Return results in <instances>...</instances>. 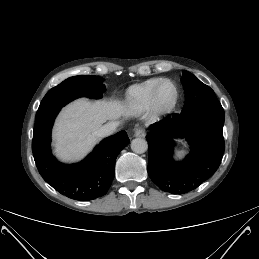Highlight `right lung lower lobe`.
<instances>
[{
    "label": "right lung lower lobe",
    "mask_w": 259,
    "mask_h": 259,
    "mask_svg": "<svg viewBox=\"0 0 259 259\" xmlns=\"http://www.w3.org/2000/svg\"><path fill=\"white\" fill-rule=\"evenodd\" d=\"M60 109L36 117L32 141L36 166L46 182L71 199L89 201L101 197L115 176L117 155L130 142L127 133L121 131L104 139L78 164H62L50 148L51 129Z\"/></svg>",
    "instance_id": "obj_1"
}]
</instances>
